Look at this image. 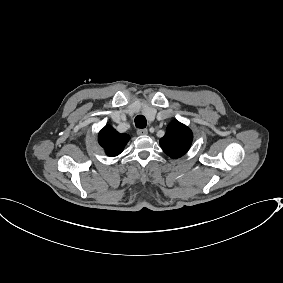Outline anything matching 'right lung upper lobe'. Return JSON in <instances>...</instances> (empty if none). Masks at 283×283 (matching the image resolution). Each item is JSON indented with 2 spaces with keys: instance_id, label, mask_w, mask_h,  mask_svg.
I'll return each mask as SVG.
<instances>
[{
  "instance_id": "obj_1",
  "label": "right lung upper lobe",
  "mask_w": 283,
  "mask_h": 283,
  "mask_svg": "<svg viewBox=\"0 0 283 283\" xmlns=\"http://www.w3.org/2000/svg\"><path fill=\"white\" fill-rule=\"evenodd\" d=\"M129 139V135L120 134L109 125L105 126L98 136L99 144L110 157L119 155Z\"/></svg>"
}]
</instances>
